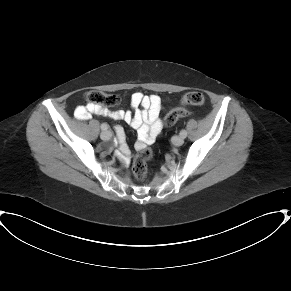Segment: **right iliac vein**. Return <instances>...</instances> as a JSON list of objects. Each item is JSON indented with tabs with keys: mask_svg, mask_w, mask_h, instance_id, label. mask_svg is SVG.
I'll list each match as a JSON object with an SVG mask.
<instances>
[{
	"mask_svg": "<svg viewBox=\"0 0 291 291\" xmlns=\"http://www.w3.org/2000/svg\"><path fill=\"white\" fill-rule=\"evenodd\" d=\"M111 136L112 134L109 131H103L100 135L101 139L103 140H109Z\"/></svg>",
	"mask_w": 291,
	"mask_h": 291,
	"instance_id": "63e3f726",
	"label": "right iliac vein"
}]
</instances>
